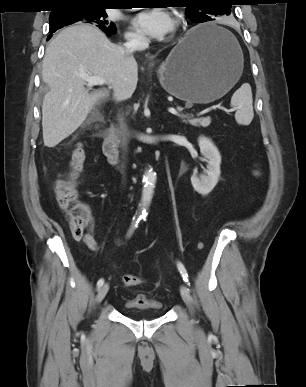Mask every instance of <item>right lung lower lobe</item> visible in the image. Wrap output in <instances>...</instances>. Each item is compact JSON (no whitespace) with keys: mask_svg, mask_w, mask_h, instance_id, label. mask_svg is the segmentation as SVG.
Masks as SVG:
<instances>
[{"mask_svg":"<svg viewBox=\"0 0 306 387\" xmlns=\"http://www.w3.org/2000/svg\"><path fill=\"white\" fill-rule=\"evenodd\" d=\"M107 35H112V34H110V33H106ZM51 38V35H49L48 36V39H50Z\"/></svg>","mask_w":306,"mask_h":387,"instance_id":"right-lung-lower-lobe-1","label":"right lung lower lobe"}]
</instances>
